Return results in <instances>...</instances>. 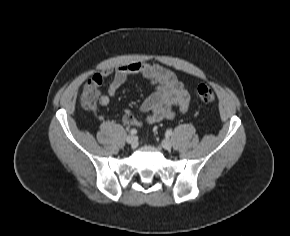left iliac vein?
I'll return each mask as SVG.
<instances>
[{"mask_svg":"<svg viewBox=\"0 0 290 236\" xmlns=\"http://www.w3.org/2000/svg\"><path fill=\"white\" fill-rule=\"evenodd\" d=\"M161 145L164 149L169 150L172 147V142L169 139H164L162 140Z\"/></svg>","mask_w":290,"mask_h":236,"instance_id":"obj_1","label":"left iliac vein"}]
</instances>
